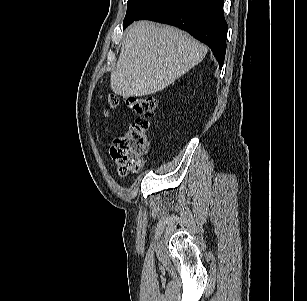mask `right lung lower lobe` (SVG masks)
Instances as JSON below:
<instances>
[{"label": "right lung lower lobe", "instance_id": "obj_1", "mask_svg": "<svg viewBox=\"0 0 307 301\" xmlns=\"http://www.w3.org/2000/svg\"><path fill=\"white\" fill-rule=\"evenodd\" d=\"M223 2L224 0H164L136 20L150 19L187 31L211 48L222 68L228 30Z\"/></svg>", "mask_w": 307, "mask_h": 301}]
</instances>
